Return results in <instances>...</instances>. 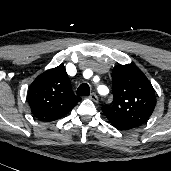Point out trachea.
<instances>
[{"label":"trachea","mask_w":171,"mask_h":171,"mask_svg":"<svg viewBox=\"0 0 171 171\" xmlns=\"http://www.w3.org/2000/svg\"><path fill=\"white\" fill-rule=\"evenodd\" d=\"M77 95L88 96L90 94V87L87 83L81 84L77 89Z\"/></svg>","instance_id":"trachea-1"}]
</instances>
